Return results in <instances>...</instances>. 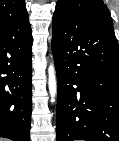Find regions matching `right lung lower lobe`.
Here are the masks:
<instances>
[{
  "label": "right lung lower lobe",
  "instance_id": "1",
  "mask_svg": "<svg viewBox=\"0 0 119 141\" xmlns=\"http://www.w3.org/2000/svg\"><path fill=\"white\" fill-rule=\"evenodd\" d=\"M32 33L28 16L0 23V137L30 141Z\"/></svg>",
  "mask_w": 119,
  "mask_h": 141
}]
</instances>
